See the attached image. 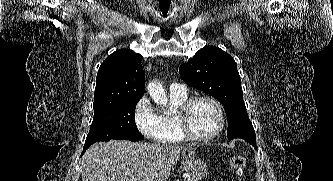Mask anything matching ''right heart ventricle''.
Returning a JSON list of instances; mask_svg holds the SVG:
<instances>
[{
    "label": "right heart ventricle",
    "mask_w": 333,
    "mask_h": 181,
    "mask_svg": "<svg viewBox=\"0 0 333 181\" xmlns=\"http://www.w3.org/2000/svg\"><path fill=\"white\" fill-rule=\"evenodd\" d=\"M188 99V94H171L170 93V112H162L159 114L162 119L166 132L159 140L163 143H178L185 140L184 135L180 130V126L176 117L178 108Z\"/></svg>",
    "instance_id": "obj_1"
}]
</instances>
